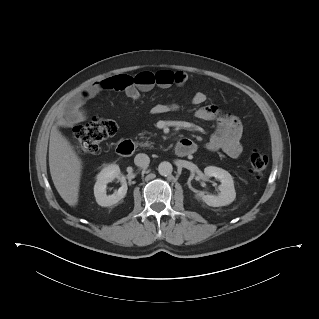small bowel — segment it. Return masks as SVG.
Wrapping results in <instances>:
<instances>
[{"label":"small bowel","mask_w":319,"mask_h":319,"mask_svg":"<svg viewBox=\"0 0 319 319\" xmlns=\"http://www.w3.org/2000/svg\"><path fill=\"white\" fill-rule=\"evenodd\" d=\"M142 73L150 74L153 82L138 84L131 76L112 75L85 87L77 97L66 104L57 125L64 127L85 121L88 118V114L84 110L86 102L101 92L124 91L129 98L138 100L140 91H147L154 85L168 88L173 84L182 85L188 79L187 74L182 71L161 70L156 73ZM207 99V95L201 91L196 92L192 97V103L199 106L195 111V117L203 121H213L216 125L215 131L206 142L205 147L209 151L222 150L232 158L240 157L243 152L241 139L244 132L240 120L235 115L224 112L215 105H205ZM177 109V104H158L153 107L152 112L163 114Z\"/></svg>","instance_id":"small-bowel-1"}]
</instances>
